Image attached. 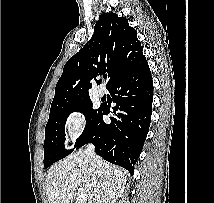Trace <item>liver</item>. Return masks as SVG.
Masks as SVG:
<instances>
[{
	"label": "liver",
	"mask_w": 214,
	"mask_h": 203,
	"mask_svg": "<svg viewBox=\"0 0 214 203\" xmlns=\"http://www.w3.org/2000/svg\"><path fill=\"white\" fill-rule=\"evenodd\" d=\"M101 161V167L94 169L80 150L55 164L46 177L48 203H73L78 188L84 189L86 203H114L127 179L122 170Z\"/></svg>",
	"instance_id": "6515ba94"
}]
</instances>
